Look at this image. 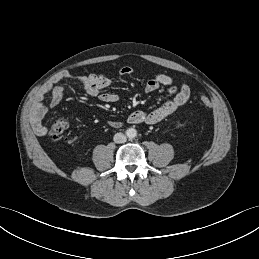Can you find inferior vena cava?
<instances>
[{
	"mask_svg": "<svg viewBox=\"0 0 259 259\" xmlns=\"http://www.w3.org/2000/svg\"><path fill=\"white\" fill-rule=\"evenodd\" d=\"M114 142L121 144V143H125L126 142V136L123 133H116L114 135Z\"/></svg>",
	"mask_w": 259,
	"mask_h": 259,
	"instance_id": "inferior-vena-cava-1",
	"label": "inferior vena cava"
}]
</instances>
